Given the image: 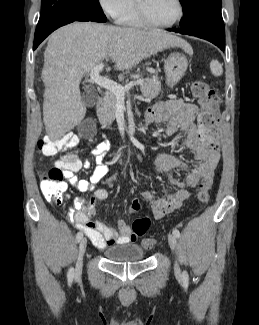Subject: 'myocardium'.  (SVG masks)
<instances>
[{
	"instance_id": "obj_1",
	"label": "myocardium",
	"mask_w": 259,
	"mask_h": 325,
	"mask_svg": "<svg viewBox=\"0 0 259 325\" xmlns=\"http://www.w3.org/2000/svg\"><path fill=\"white\" fill-rule=\"evenodd\" d=\"M136 1V9H137V13L138 16L140 18V20L142 21V23L148 27L151 28H156V29H168V28H172L173 26H175L183 17L184 15V5L182 3L181 0H175V3L177 5V15L176 17L169 23L166 24H161V23H156L154 21H152L146 14L144 7H143V3L142 0H135Z\"/></svg>"
}]
</instances>
